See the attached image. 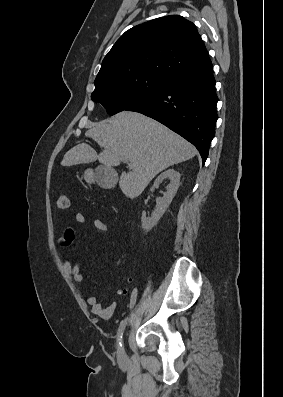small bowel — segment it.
Wrapping results in <instances>:
<instances>
[{
	"label": "small bowel",
	"instance_id": "obj_1",
	"mask_svg": "<svg viewBox=\"0 0 283 397\" xmlns=\"http://www.w3.org/2000/svg\"><path fill=\"white\" fill-rule=\"evenodd\" d=\"M75 220L78 224L84 225L86 223V216L85 214L79 212L76 214ZM93 224L94 227L100 232L105 233L108 230L106 223L100 218H95ZM75 237L76 233L74 228L67 226L64 229L63 234L58 238V243L62 247H69L73 244ZM64 268L73 277V280L76 283H82L84 281V276L78 263H74L70 258H66L64 261ZM130 281L131 279L128 280V282ZM119 294L126 295L127 289L124 288L119 290ZM87 304L91 307V311L95 316L104 320L111 319L116 311L115 303H110L109 305L104 306L94 295H89L87 297Z\"/></svg>",
	"mask_w": 283,
	"mask_h": 397
}]
</instances>
